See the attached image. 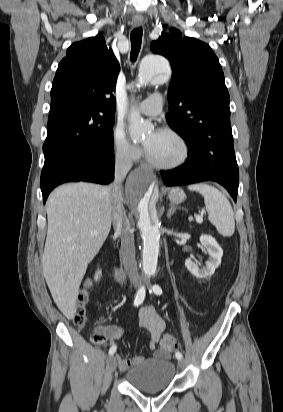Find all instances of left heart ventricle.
Instances as JSON below:
<instances>
[{"instance_id": "obj_1", "label": "left heart ventricle", "mask_w": 283, "mask_h": 412, "mask_svg": "<svg viewBox=\"0 0 283 412\" xmlns=\"http://www.w3.org/2000/svg\"><path fill=\"white\" fill-rule=\"evenodd\" d=\"M151 158L161 164H171L180 159L182 147L173 136L164 132H151L144 139Z\"/></svg>"}]
</instances>
